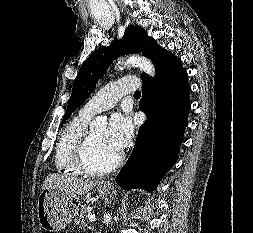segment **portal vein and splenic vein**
Here are the masks:
<instances>
[{"instance_id":"1","label":"portal vein and splenic vein","mask_w":253,"mask_h":233,"mask_svg":"<svg viewBox=\"0 0 253 233\" xmlns=\"http://www.w3.org/2000/svg\"><path fill=\"white\" fill-rule=\"evenodd\" d=\"M88 219H89L91 222H95V221H96L95 215H92V214H90V215L88 216Z\"/></svg>"}]
</instances>
